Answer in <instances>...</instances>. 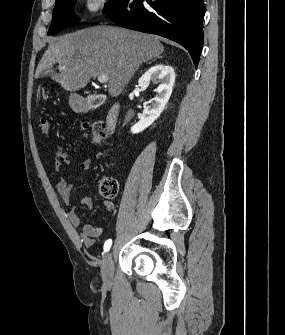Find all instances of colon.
I'll return each instance as SVG.
<instances>
[{"label": "colon", "mask_w": 285, "mask_h": 335, "mask_svg": "<svg viewBox=\"0 0 285 335\" xmlns=\"http://www.w3.org/2000/svg\"><path fill=\"white\" fill-rule=\"evenodd\" d=\"M40 130L43 135H47L50 130L49 122L45 117L40 120ZM84 128L89 130L94 142L99 143L106 139L108 130L105 124L101 122L85 123ZM101 195L107 199H113L118 194V182L112 177H105L99 183Z\"/></svg>", "instance_id": "colon-1"}]
</instances>
